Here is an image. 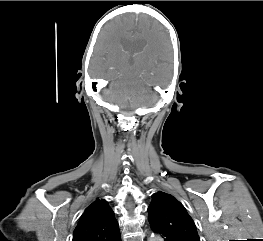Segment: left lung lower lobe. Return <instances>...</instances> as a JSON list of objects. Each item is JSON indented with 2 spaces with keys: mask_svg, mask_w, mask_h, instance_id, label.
Segmentation results:
<instances>
[{
  "mask_svg": "<svg viewBox=\"0 0 263 241\" xmlns=\"http://www.w3.org/2000/svg\"><path fill=\"white\" fill-rule=\"evenodd\" d=\"M152 230L161 235L164 238V241H183L182 239H180L179 237L173 235L172 233L160 228L159 226L150 224Z\"/></svg>",
  "mask_w": 263,
  "mask_h": 241,
  "instance_id": "obj_1",
  "label": "left lung lower lobe"
}]
</instances>
